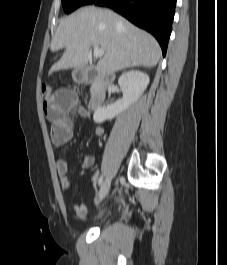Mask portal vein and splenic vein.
<instances>
[{
  "instance_id": "portal-vein-and-splenic-vein-1",
  "label": "portal vein and splenic vein",
  "mask_w": 227,
  "mask_h": 265,
  "mask_svg": "<svg viewBox=\"0 0 227 265\" xmlns=\"http://www.w3.org/2000/svg\"><path fill=\"white\" fill-rule=\"evenodd\" d=\"M105 54V51L103 49H100L99 46H94V57L100 58Z\"/></svg>"
}]
</instances>
